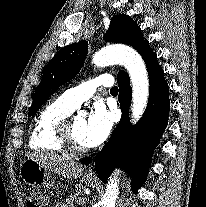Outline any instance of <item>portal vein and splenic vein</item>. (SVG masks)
<instances>
[{
    "label": "portal vein and splenic vein",
    "mask_w": 206,
    "mask_h": 207,
    "mask_svg": "<svg viewBox=\"0 0 206 207\" xmlns=\"http://www.w3.org/2000/svg\"><path fill=\"white\" fill-rule=\"evenodd\" d=\"M80 202H81V204H83L84 203V199H80Z\"/></svg>",
    "instance_id": "portal-vein-and-splenic-vein-1"
}]
</instances>
